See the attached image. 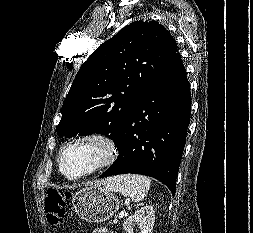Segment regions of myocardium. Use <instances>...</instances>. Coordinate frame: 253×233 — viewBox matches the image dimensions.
Segmentation results:
<instances>
[{
	"mask_svg": "<svg viewBox=\"0 0 253 233\" xmlns=\"http://www.w3.org/2000/svg\"><path fill=\"white\" fill-rule=\"evenodd\" d=\"M81 144H93L100 147L102 155L95 165L89 170L77 175H68L63 169V157L70 148ZM118 156L119 147L115 139L110 134L96 131L76 137L66 143L57 156V166L62 176L68 180L75 181L88 177L106 167L111 166L117 160Z\"/></svg>",
	"mask_w": 253,
	"mask_h": 233,
	"instance_id": "1",
	"label": "myocardium"
}]
</instances>
